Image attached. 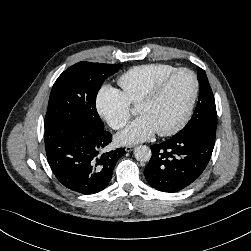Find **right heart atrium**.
<instances>
[{"label":"right heart atrium","mask_w":251,"mask_h":251,"mask_svg":"<svg viewBox=\"0 0 251 251\" xmlns=\"http://www.w3.org/2000/svg\"><path fill=\"white\" fill-rule=\"evenodd\" d=\"M98 114L108 125L119 130L123 128L129 118V103L123 93L111 86H103L95 100Z\"/></svg>","instance_id":"1"}]
</instances>
